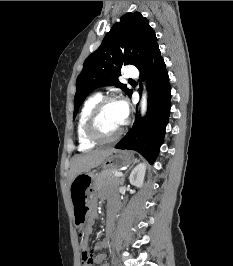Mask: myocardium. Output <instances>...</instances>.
Segmentation results:
<instances>
[{"label": "myocardium", "mask_w": 233, "mask_h": 266, "mask_svg": "<svg viewBox=\"0 0 233 266\" xmlns=\"http://www.w3.org/2000/svg\"><path fill=\"white\" fill-rule=\"evenodd\" d=\"M110 102H118V99L114 96H104L102 97L92 108L87 118L85 124V134L86 137L94 143H110L117 140L124 131V126L122 125L116 133L111 136H103L99 133L97 123L100 113L104 106Z\"/></svg>", "instance_id": "f54148a6"}]
</instances>
